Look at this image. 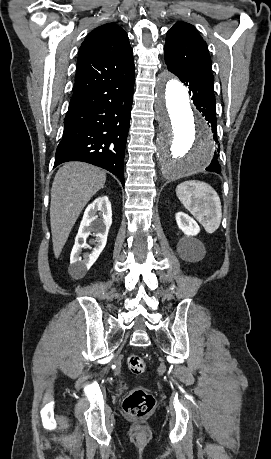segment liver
Listing matches in <instances>:
<instances>
[{
	"instance_id": "6515ba94",
	"label": "liver",
	"mask_w": 271,
	"mask_h": 459,
	"mask_svg": "<svg viewBox=\"0 0 271 459\" xmlns=\"http://www.w3.org/2000/svg\"><path fill=\"white\" fill-rule=\"evenodd\" d=\"M105 182L104 170L84 162H66L58 170L52 184L50 206L55 257H59L80 212Z\"/></svg>"
}]
</instances>
